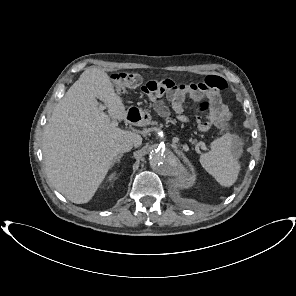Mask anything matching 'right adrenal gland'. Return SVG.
Instances as JSON below:
<instances>
[{"instance_id":"right-adrenal-gland-1","label":"right adrenal gland","mask_w":296,"mask_h":296,"mask_svg":"<svg viewBox=\"0 0 296 296\" xmlns=\"http://www.w3.org/2000/svg\"><path fill=\"white\" fill-rule=\"evenodd\" d=\"M123 157V153H119L118 155L115 156L112 164H111V168L116 164V163H120V159Z\"/></svg>"}]
</instances>
